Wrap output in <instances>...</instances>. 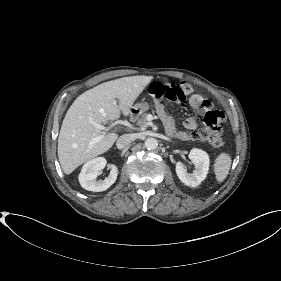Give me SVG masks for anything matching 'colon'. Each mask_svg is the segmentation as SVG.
<instances>
[{"mask_svg":"<svg viewBox=\"0 0 281 281\" xmlns=\"http://www.w3.org/2000/svg\"><path fill=\"white\" fill-rule=\"evenodd\" d=\"M192 92V86L188 82L161 83L153 82L149 87V93L153 98H165L169 101H183ZM224 115L218 110L207 111L204 114V127L197 131L196 139L207 140L215 148L222 147L224 141L219 135L220 125Z\"/></svg>","mask_w":281,"mask_h":281,"instance_id":"5ec220e1","label":"colon"}]
</instances>
